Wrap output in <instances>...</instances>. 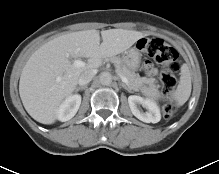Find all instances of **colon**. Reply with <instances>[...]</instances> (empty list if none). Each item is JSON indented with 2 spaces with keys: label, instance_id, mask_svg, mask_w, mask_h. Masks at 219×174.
<instances>
[{
  "label": "colon",
  "instance_id": "colon-1",
  "mask_svg": "<svg viewBox=\"0 0 219 174\" xmlns=\"http://www.w3.org/2000/svg\"><path fill=\"white\" fill-rule=\"evenodd\" d=\"M139 48L161 65V81L163 93L170 98L176 87V72L179 69L177 50L161 38L142 39ZM177 112V106L168 101L164 106V116L171 119Z\"/></svg>",
  "mask_w": 219,
  "mask_h": 174
}]
</instances>
